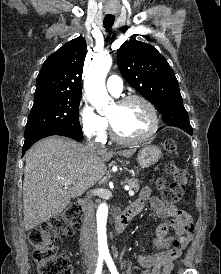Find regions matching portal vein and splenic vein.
<instances>
[{"label": "portal vein and splenic vein", "mask_w": 221, "mask_h": 274, "mask_svg": "<svg viewBox=\"0 0 221 274\" xmlns=\"http://www.w3.org/2000/svg\"><path fill=\"white\" fill-rule=\"evenodd\" d=\"M74 182L72 180H68L67 182H65V185H71L73 184ZM125 190L128 191L129 195L130 196H133L134 195V191L131 190L128 186L125 187Z\"/></svg>", "instance_id": "1"}]
</instances>
